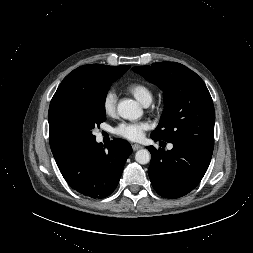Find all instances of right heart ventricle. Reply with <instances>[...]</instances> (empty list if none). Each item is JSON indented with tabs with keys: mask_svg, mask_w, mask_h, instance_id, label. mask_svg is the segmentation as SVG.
I'll list each match as a JSON object with an SVG mask.
<instances>
[{
	"mask_svg": "<svg viewBox=\"0 0 253 253\" xmlns=\"http://www.w3.org/2000/svg\"><path fill=\"white\" fill-rule=\"evenodd\" d=\"M126 91L144 106L149 105L153 100L152 89L143 82H132L128 84Z\"/></svg>",
	"mask_w": 253,
	"mask_h": 253,
	"instance_id": "e07e8e85",
	"label": "right heart ventricle"
}]
</instances>
